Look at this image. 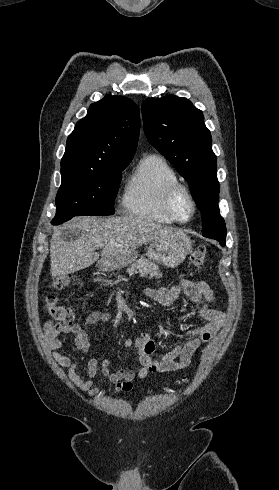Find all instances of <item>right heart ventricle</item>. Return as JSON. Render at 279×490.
Returning <instances> with one entry per match:
<instances>
[{
    "label": "right heart ventricle",
    "instance_id": "e07e8e85",
    "mask_svg": "<svg viewBox=\"0 0 279 490\" xmlns=\"http://www.w3.org/2000/svg\"><path fill=\"white\" fill-rule=\"evenodd\" d=\"M179 181V176L163 157L157 154L143 157L126 191L127 212L160 225L177 224L167 210L166 196L170 187Z\"/></svg>",
    "mask_w": 279,
    "mask_h": 490
}]
</instances>
